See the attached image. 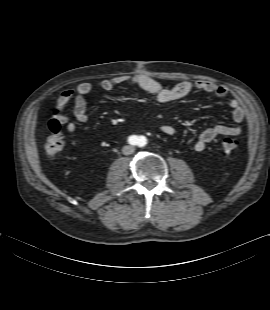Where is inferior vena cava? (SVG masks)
Returning <instances> with one entry per match:
<instances>
[{
	"instance_id": "inferior-vena-cava-1",
	"label": "inferior vena cava",
	"mask_w": 270,
	"mask_h": 310,
	"mask_svg": "<svg viewBox=\"0 0 270 310\" xmlns=\"http://www.w3.org/2000/svg\"><path fill=\"white\" fill-rule=\"evenodd\" d=\"M135 148L130 145H126L123 147L122 151L124 155H130L134 152Z\"/></svg>"
}]
</instances>
